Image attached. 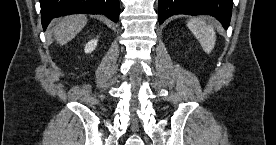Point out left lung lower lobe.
Wrapping results in <instances>:
<instances>
[{"label":"left lung lower lobe","instance_id":"0a47b994","mask_svg":"<svg viewBox=\"0 0 276 145\" xmlns=\"http://www.w3.org/2000/svg\"><path fill=\"white\" fill-rule=\"evenodd\" d=\"M233 0H159V24L176 14H209L217 18L225 29L229 27Z\"/></svg>","mask_w":276,"mask_h":145}]
</instances>
